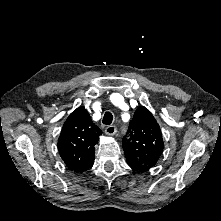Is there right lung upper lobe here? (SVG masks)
Returning <instances> with one entry per match:
<instances>
[{
  "instance_id": "cb5924a9",
  "label": "right lung upper lobe",
  "mask_w": 221,
  "mask_h": 221,
  "mask_svg": "<svg viewBox=\"0 0 221 221\" xmlns=\"http://www.w3.org/2000/svg\"><path fill=\"white\" fill-rule=\"evenodd\" d=\"M101 133L85 108L79 107L69 115L58 139L60 156L69 170L82 173L93 166L94 146Z\"/></svg>"
}]
</instances>
